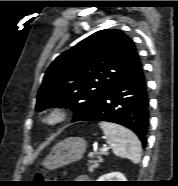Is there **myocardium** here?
I'll list each match as a JSON object with an SVG mask.
<instances>
[{
	"mask_svg": "<svg viewBox=\"0 0 178 186\" xmlns=\"http://www.w3.org/2000/svg\"><path fill=\"white\" fill-rule=\"evenodd\" d=\"M68 116V112L64 107L56 106L44 111L40 120L46 127H56L63 123Z\"/></svg>",
	"mask_w": 178,
	"mask_h": 186,
	"instance_id": "obj_1",
	"label": "myocardium"
}]
</instances>
